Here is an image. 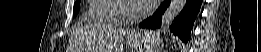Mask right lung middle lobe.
Wrapping results in <instances>:
<instances>
[{"label": "right lung middle lobe", "mask_w": 261, "mask_h": 52, "mask_svg": "<svg viewBox=\"0 0 261 52\" xmlns=\"http://www.w3.org/2000/svg\"><path fill=\"white\" fill-rule=\"evenodd\" d=\"M78 10H79V1L74 4L73 16L77 14Z\"/></svg>", "instance_id": "right-lung-middle-lobe-1"}]
</instances>
